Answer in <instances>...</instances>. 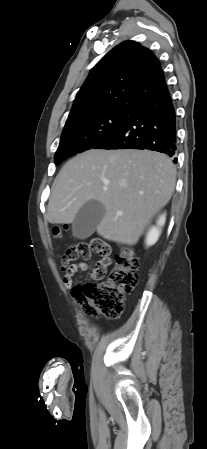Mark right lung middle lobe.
Masks as SVG:
<instances>
[{"mask_svg":"<svg viewBox=\"0 0 207 449\" xmlns=\"http://www.w3.org/2000/svg\"><path fill=\"white\" fill-rule=\"evenodd\" d=\"M134 111L133 109H108L67 119L55 154V164L93 148L121 128Z\"/></svg>","mask_w":207,"mask_h":449,"instance_id":"obj_1","label":"right lung middle lobe"}]
</instances>
